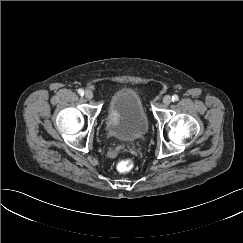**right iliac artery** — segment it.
I'll return each instance as SVG.
<instances>
[{
	"instance_id": "1",
	"label": "right iliac artery",
	"mask_w": 243,
	"mask_h": 243,
	"mask_svg": "<svg viewBox=\"0 0 243 243\" xmlns=\"http://www.w3.org/2000/svg\"><path fill=\"white\" fill-rule=\"evenodd\" d=\"M78 93H79V95L83 96V95H84V91H83V89H79V90H78Z\"/></svg>"
}]
</instances>
